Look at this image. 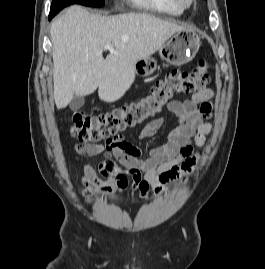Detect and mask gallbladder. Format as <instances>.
<instances>
[{
    "instance_id": "gallbladder-1",
    "label": "gallbladder",
    "mask_w": 265,
    "mask_h": 269,
    "mask_svg": "<svg viewBox=\"0 0 265 269\" xmlns=\"http://www.w3.org/2000/svg\"><path fill=\"white\" fill-rule=\"evenodd\" d=\"M84 102H85L84 97L74 96L69 104L70 109L73 111L78 110L84 105Z\"/></svg>"
}]
</instances>
